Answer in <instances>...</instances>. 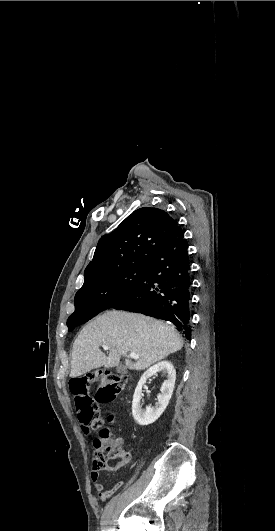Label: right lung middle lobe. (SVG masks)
<instances>
[{"instance_id":"obj_1","label":"right lung middle lobe","mask_w":275,"mask_h":531,"mask_svg":"<svg viewBox=\"0 0 275 531\" xmlns=\"http://www.w3.org/2000/svg\"><path fill=\"white\" fill-rule=\"evenodd\" d=\"M145 270L146 266L126 267L83 284L74 298L75 311L67 320L69 331L123 301L141 280Z\"/></svg>"}]
</instances>
